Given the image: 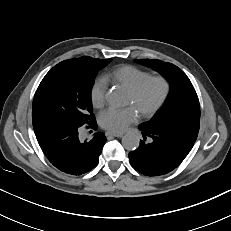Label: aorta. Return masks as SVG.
Here are the masks:
<instances>
[{
  "label": "aorta",
  "instance_id": "1",
  "mask_svg": "<svg viewBox=\"0 0 231 231\" xmlns=\"http://www.w3.org/2000/svg\"><path fill=\"white\" fill-rule=\"evenodd\" d=\"M106 100L112 107H122L124 105V97L116 90L109 91L106 94ZM139 143V137L134 133H127L122 138L123 147L129 151L137 149Z\"/></svg>",
  "mask_w": 231,
  "mask_h": 231
}]
</instances>
